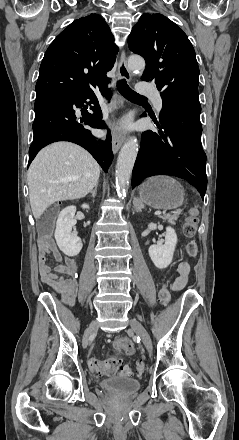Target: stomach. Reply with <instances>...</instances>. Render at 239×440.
I'll return each instance as SVG.
<instances>
[{"mask_svg": "<svg viewBox=\"0 0 239 440\" xmlns=\"http://www.w3.org/2000/svg\"><path fill=\"white\" fill-rule=\"evenodd\" d=\"M140 202L156 210H175L182 206L185 192L176 180L168 176H153L138 188Z\"/></svg>", "mask_w": 239, "mask_h": 440, "instance_id": "1", "label": "stomach"}]
</instances>
